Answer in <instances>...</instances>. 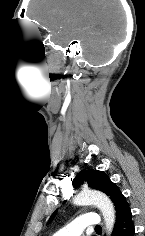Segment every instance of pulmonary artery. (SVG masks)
I'll return each mask as SVG.
<instances>
[{
	"instance_id": "1",
	"label": "pulmonary artery",
	"mask_w": 145,
	"mask_h": 236,
	"mask_svg": "<svg viewBox=\"0 0 145 236\" xmlns=\"http://www.w3.org/2000/svg\"><path fill=\"white\" fill-rule=\"evenodd\" d=\"M100 223L101 220L97 214L86 213L58 230L53 236H81L86 227H96Z\"/></svg>"
}]
</instances>
